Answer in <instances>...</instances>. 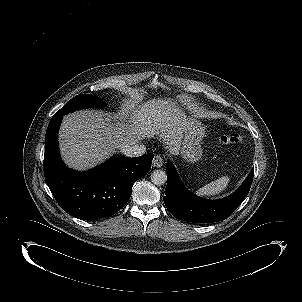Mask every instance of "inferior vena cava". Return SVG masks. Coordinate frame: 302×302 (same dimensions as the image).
<instances>
[{"label":"inferior vena cava","mask_w":302,"mask_h":302,"mask_svg":"<svg viewBox=\"0 0 302 302\" xmlns=\"http://www.w3.org/2000/svg\"><path fill=\"white\" fill-rule=\"evenodd\" d=\"M126 157H139L145 154L146 146L143 144H135L133 146H126L121 150Z\"/></svg>","instance_id":"obj_1"}]
</instances>
